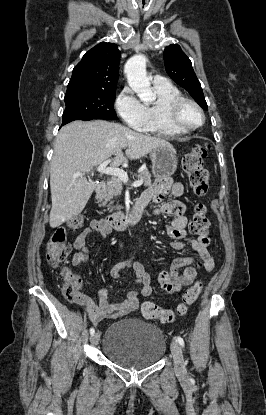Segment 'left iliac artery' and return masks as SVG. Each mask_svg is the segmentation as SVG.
Segmentation results:
<instances>
[{
    "instance_id": "obj_1",
    "label": "left iliac artery",
    "mask_w": 266,
    "mask_h": 415,
    "mask_svg": "<svg viewBox=\"0 0 266 415\" xmlns=\"http://www.w3.org/2000/svg\"><path fill=\"white\" fill-rule=\"evenodd\" d=\"M176 340L182 347H184L185 344H184V340L182 337L178 336Z\"/></svg>"
}]
</instances>
